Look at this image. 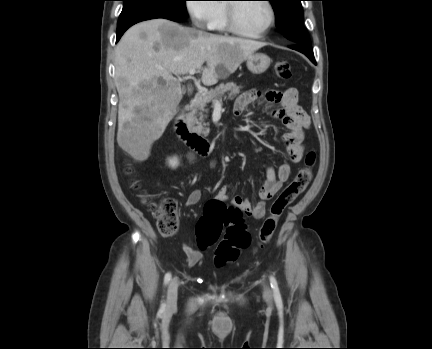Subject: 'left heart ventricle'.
I'll use <instances>...</instances> for the list:
<instances>
[{
	"mask_svg": "<svg viewBox=\"0 0 432 349\" xmlns=\"http://www.w3.org/2000/svg\"><path fill=\"white\" fill-rule=\"evenodd\" d=\"M236 18L242 30L256 33L267 26L270 12L264 2L240 3L236 7Z\"/></svg>",
	"mask_w": 432,
	"mask_h": 349,
	"instance_id": "obj_1",
	"label": "left heart ventricle"
}]
</instances>
